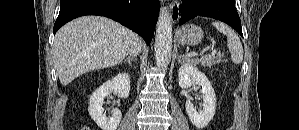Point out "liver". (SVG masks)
<instances>
[{"instance_id": "obj_1", "label": "liver", "mask_w": 299, "mask_h": 130, "mask_svg": "<svg viewBox=\"0 0 299 130\" xmlns=\"http://www.w3.org/2000/svg\"><path fill=\"white\" fill-rule=\"evenodd\" d=\"M135 34L118 22L84 16L63 26L56 34L53 59L63 86L78 76L124 60Z\"/></svg>"}]
</instances>
